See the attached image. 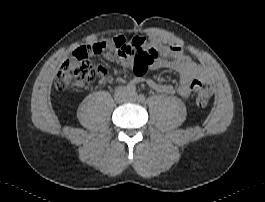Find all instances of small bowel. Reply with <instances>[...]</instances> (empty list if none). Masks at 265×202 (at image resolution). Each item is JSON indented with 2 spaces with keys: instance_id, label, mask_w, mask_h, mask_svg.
Segmentation results:
<instances>
[{
  "instance_id": "c3829d8e",
  "label": "small bowel",
  "mask_w": 265,
  "mask_h": 202,
  "mask_svg": "<svg viewBox=\"0 0 265 202\" xmlns=\"http://www.w3.org/2000/svg\"><path fill=\"white\" fill-rule=\"evenodd\" d=\"M144 46L153 48L157 52V56L152 58L148 63L150 71L154 72L167 68L179 75V84L176 87L172 84L158 82L153 77L147 79L149 87L161 93L173 94L177 92L184 98L189 97L191 94V84L200 75V69L197 64L179 46L166 44L153 36H148L147 45ZM85 50L78 49L76 54H80ZM105 57L107 60L125 67L131 66L133 62L131 55L124 56L120 53L108 52L105 54ZM118 81L122 82L123 78L119 77ZM131 82L134 84L138 82V79H133Z\"/></svg>"
}]
</instances>
